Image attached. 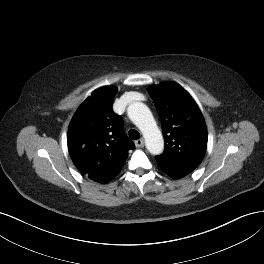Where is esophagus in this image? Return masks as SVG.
<instances>
[{
    "label": "esophagus",
    "instance_id": "esophagus-1",
    "mask_svg": "<svg viewBox=\"0 0 264 264\" xmlns=\"http://www.w3.org/2000/svg\"><path fill=\"white\" fill-rule=\"evenodd\" d=\"M135 146H136L137 148H141V147H143V146H144V141H143L142 139L136 140V141H135Z\"/></svg>",
    "mask_w": 264,
    "mask_h": 264
}]
</instances>
